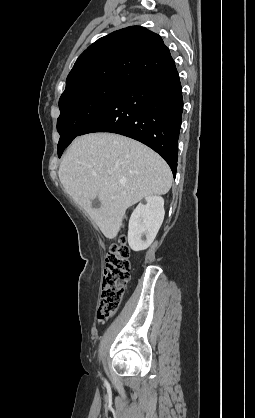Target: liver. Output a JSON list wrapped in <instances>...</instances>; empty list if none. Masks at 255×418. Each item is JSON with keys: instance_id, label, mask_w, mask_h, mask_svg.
<instances>
[{"instance_id": "6515ba94", "label": "liver", "mask_w": 255, "mask_h": 418, "mask_svg": "<svg viewBox=\"0 0 255 418\" xmlns=\"http://www.w3.org/2000/svg\"><path fill=\"white\" fill-rule=\"evenodd\" d=\"M58 174L65 191L109 239L117 236L130 206L148 196L164 195L172 185L171 170L157 153L112 133L76 138ZM95 198L101 202L99 208L92 207Z\"/></svg>"}]
</instances>
